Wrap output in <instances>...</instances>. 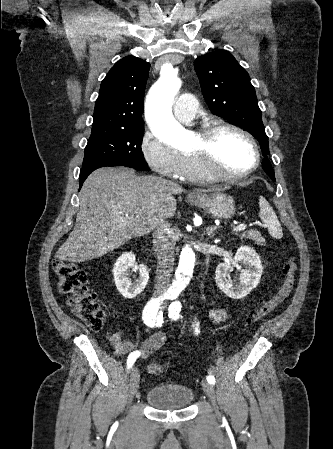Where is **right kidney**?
<instances>
[{"label":"right kidney","instance_id":"ca27d5eb","mask_svg":"<svg viewBox=\"0 0 333 449\" xmlns=\"http://www.w3.org/2000/svg\"><path fill=\"white\" fill-rule=\"evenodd\" d=\"M129 269L135 272L139 271V276L135 281L129 279ZM112 272L117 290L127 299H132L140 294L146 288L149 280L146 266L144 264L137 265L135 255L131 252L124 253L117 259Z\"/></svg>","mask_w":333,"mask_h":449}]
</instances>
